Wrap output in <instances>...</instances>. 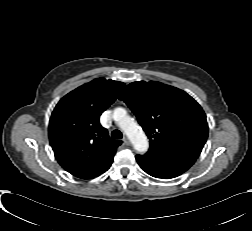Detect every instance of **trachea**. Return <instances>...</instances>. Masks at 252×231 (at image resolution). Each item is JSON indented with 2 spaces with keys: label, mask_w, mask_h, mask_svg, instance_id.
Wrapping results in <instances>:
<instances>
[{
  "label": "trachea",
  "mask_w": 252,
  "mask_h": 231,
  "mask_svg": "<svg viewBox=\"0 0 252 231\" xmlns=\"http://www.w3.org/2000/svg\"><path fill=\"white\" fill-rule=\"evenodd\" d=\"M111 136L114 139H121L123 135H122L121 131L114 130V131H112Z\"/></svg>",
  "instance_id": "trachea-1"
}]
</instances>
